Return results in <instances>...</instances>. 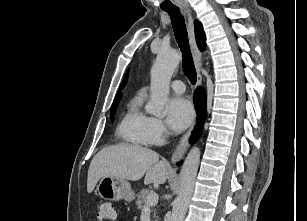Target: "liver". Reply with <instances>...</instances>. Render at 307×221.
Instances as JSON below:
<instances>
[{
    "label": "liver",
    "mask_w": 307,
    "mask_h": 221,
    "mask_svg": "<svg viewBox=\"0 0 307 221\" xmlns=\"http://www.w3.org/2000/svg\"><path fill=\"white\" fill-rule=\"evenodd\" d=\"M170 166L159 160L151 149L130 144L108 146L92 159L88 169L87 191L91 193L102 177L138 181L145 175V184H164Z\"/></svg>",
    "instance_id": "obj_1"
}]
</instances>
